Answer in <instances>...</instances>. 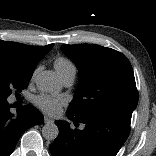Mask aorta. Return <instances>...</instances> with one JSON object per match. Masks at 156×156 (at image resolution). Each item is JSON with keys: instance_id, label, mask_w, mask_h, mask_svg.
Segmentation results:
<instances>
[{"instance_id": "1", "label": "aorta", "mask_w": 156, "mask_h": 156, "mask_svg": "<svg viewBox=\"0 0 156 156\" xmlns=\"http://www.w3.org/2000/svg\"><path fill=\"white\" fill-rule=\"evenodd\" d=\"M36 85L43 92H54L60 89L61 85L51 71H43L36 77ZM59 134V129L54 122H47L42 127V136L46 140H55Z\"/></svg>"}]
</instances>
